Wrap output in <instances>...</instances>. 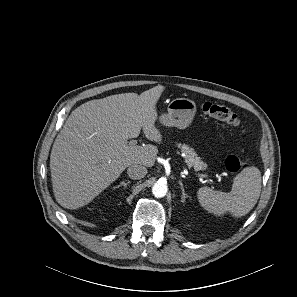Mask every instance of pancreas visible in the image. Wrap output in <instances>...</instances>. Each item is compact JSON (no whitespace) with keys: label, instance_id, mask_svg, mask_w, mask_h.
Masks as SVG:
<instances>
[{"label":"pancreas","instance_id":"1","mask_svg":"<svg viewBox=\"0 0 297 297\" xmlns=\"http://www.w3.org/2000/svg\"><path fill=\"white\" fill-rule=\"evenodd\" d=\"M177 146L181 149V152L185 153V162L189 167H194L195 170H203L207 167V164L197 156L193 148L185 144H177Z\"/></svg>","mask_w":297,"mask_h":297}]
</instances>
